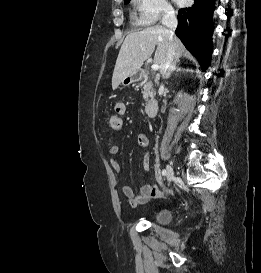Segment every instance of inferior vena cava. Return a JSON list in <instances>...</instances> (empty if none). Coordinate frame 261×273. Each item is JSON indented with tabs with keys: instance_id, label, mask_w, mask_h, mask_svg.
Segmentation results:
<instances>
[{
	"instance_id": "1",
	"label": "inferior vena cava",
	"mask_w": 261,
	"mask_h": 273,
	"mask_svg": "<svg viewBox=\"0 0 261 273\" xmlns=\"http://www.w3.org/2000/svg\"><path fill=\"white\" fill-rule=\"evenodd\" d=\"M177 24H178V21L175 16V12L172 9H169V8L166 9L162 18V25L166 26L169 29V33L172 37L174 36V31L177 28ZM174 63H175L174 49H173V43L171 42L167 50L165 62L161 69L163 78H165L168 71L174 67ZM163 90H164V86L161 85L159 88V95L162 94Z\"/></svg>"
}]
</instances>
